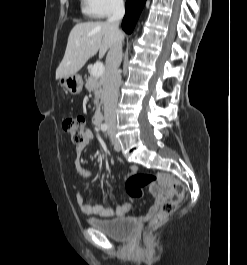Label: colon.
I'll list each match as a JSON object with an SVG mask.
<instances>
[{"instance_id":"5ec220e1","label":"colon","mask_w":247,"mask_h":265,"mask_svg":"<svg viewBox=\"0 0 247 265\" xmlns=\"http://www.w3.org/2000/svg\"><path fill=\"white\" fill-rule=\"evenodd\" d=\"M62 127L75 144L79 145L85 140L87 128L82 116L64 114ZM146 186H149L152 192L170 191L175 197L162 202L159 212L150 222L154 227L160 225L176 210L178 203L184 197V185L168 177L147 172L135 173L128 177L125 183L126 192L132 198L143 197Z\"/></svg>"}]
</instances>
